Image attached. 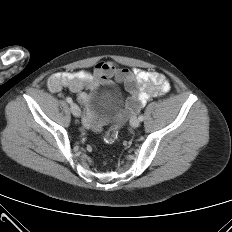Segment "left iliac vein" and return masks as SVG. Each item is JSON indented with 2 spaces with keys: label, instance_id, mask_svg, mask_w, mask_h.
I'll use <instances>...</instances> for the list:
<instances>
[{
  "label": "left iliac vein",
  "instance_id": "1",
  "mask_svg": "<svg viewBox=\"0 0 232 232\" xmlns=\"http://www.w3.org/2000/svg\"><path fill=\"white\" fill-rule=\"evenodd\" d=\"M139 124H140V121H139V119H138L137 117L131 118V120H130V125H131L132 127L136 128V127L139 126Z\"/></svg>",
  "mask_w": 232,
  "mask_h": 232
}]
</instances>
